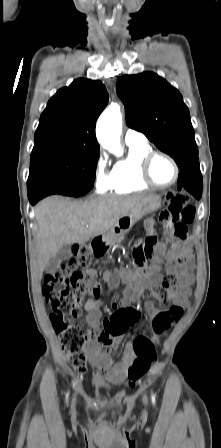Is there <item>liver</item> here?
I'll return each mask as SVG.
<instances>
[{
    "mask_svg": "<svg viewBox=\"0 0 221 448\" xmlns=\"http://www.w3.org/2000/svg\"><path fill=\"white\" fill-rule=\"evenodd\" d=\"M154 195H105L87 202H70L59 196L41 201L35 208V237L39 277L65 244H83L105 234L119 219Z\"/></svg>",
    "mask_w": 221,
    "mask_h": 448,
    "instance_id": "liver-1",
    "label": "liver"
}]
</instances>
